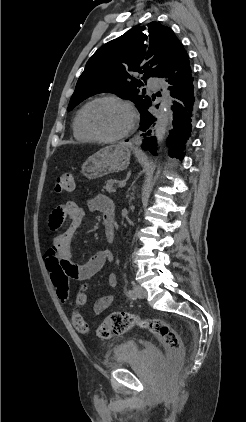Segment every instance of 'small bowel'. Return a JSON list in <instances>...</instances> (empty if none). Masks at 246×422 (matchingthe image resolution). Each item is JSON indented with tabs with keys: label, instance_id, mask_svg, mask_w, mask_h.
I'll return each mask as SVG.
<instances>
[{
	"label": "small bowel",
	"instance_id": "small-bowel-1",
	"mask_svg": "<svg viewBox=\"0 0 246 422\" xmlns=\"http://www.w3.org/2000/svg\"><path fill=\"white\" fill-rule=\"evenodd\" d=\"M89 208L92 211H99L103 215L104 226L106 222L113 225V202L105 195H98L89 202ZM85 212L74 202H67L56 207L50 215L48 226L51 231H57L63 221L68 219L69 227L59 232L53 240L52 247L46 253V259L51 254H55L61 258L69 270V276L78 280H87L99 272L103 266L112 261L113 255L109 249H102L95 253L90 259L83 264H75L72 261L71 242L80 228ZM108 284L110 287L117 285V277L115 274L108 276ZM113 295L100 296L93 305L95 314H101L107 310L113 303Z\"/></svg>",
	"mask_w": 246,
	"mask_h": 422
}]
</instances>
